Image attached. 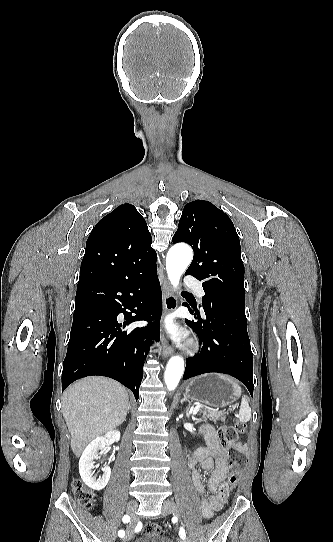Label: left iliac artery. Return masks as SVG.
I'll return each instance as SVG.
<instances>
[{"label": "left iliac artery", "mask_w": 333, "mask_h": 542, "mask_svg": "<svg viewBox=\"0 0 333 542\" xmlns=\"http://www.w3.org/2000/svg\"><path fill=\"white\" fill-rule=\"evenodd\" d=\"M179 535L181 538H185V530L183 528H180Z\"/></svg>", "instance_id": "left-iliac-artery-1"}]
</instances>
